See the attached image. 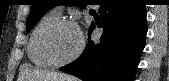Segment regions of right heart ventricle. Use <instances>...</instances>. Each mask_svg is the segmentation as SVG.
I'll list each match as a JSON object with an SVG mask.
<instances>
[{
	"label": "right heart ventricle",
	"mask_w": 169,
	"mask_h": 81,
	"mask_svg": "<svg viewBox=\"0 0 169 81\" xmlns=\"http://www.w3.org/2000/svg\"><path fill=\"white\" fill-rule=\"evenodd\" d=\"M60 19V14L51 11L45 14L36 24L31 32L27 53L29 60L37 67L49 68L52 64L44 57L41 48L42 37L45 31L56 21Z\"/></svg>",
	"instance_id": "e07e8e85"
}]
</instances>
